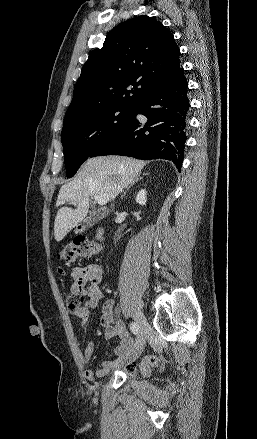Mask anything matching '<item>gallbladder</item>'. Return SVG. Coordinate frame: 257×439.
<instances>
[{"instance_id": "bac80fb5", "label": "gallbladder", "mask_w": 257, "mask_h": 439, "mask_svg": "<svg viewBox=\"0 0 257 439\" xmlns=\"http://www.w3.org/2000/svg\"><path fill=\"white\" fill-rule=\"evenodd\" d=\"M98 219H99V216L95 213H92V215L87 220V225L93 226L97 222Z\"/></svg>"}]
</instances>
